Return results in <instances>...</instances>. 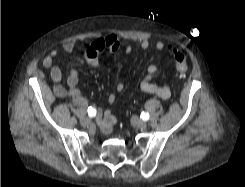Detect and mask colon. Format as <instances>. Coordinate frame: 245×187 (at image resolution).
<instances>
[{
	"label": "colon",
	"instance_id": "5ec220e1",
	"mask_svg": "<svg viewBox=\"0 0 245 187\" xmlns=\"http://www.w3.org/2000/svg\"><path fill=\"white\" fill-rule=\"evenodd\" d=\"M172 54H173V61L176 70V75L179 78H183L188 70L186 57L182 52L178 50H173Z\"/></svg>",
	"mask_w": 245,
	"mask_h": 187
}]
</instances>
